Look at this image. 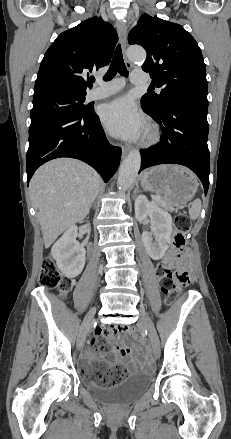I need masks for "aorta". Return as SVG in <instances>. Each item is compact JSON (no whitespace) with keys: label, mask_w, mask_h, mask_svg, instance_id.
Listing matches in <instances>:
<instances>
[{"label":"aorta","mask_w":231,"mask_h":439,"mask_svg":"<svg viewBox=\"0 0 231 439\" xmlns=\"http://www.w3.org/2000/svg\"><path fill=\"white\" fill-rule=\"evenodd\" d=\"M127 56L132 62H144L146 52L141 47H130L127 50ZM141 166V155L138 150L131 151L122 162L119 173L117 186L120 191H126L134 182Z\"/></svg>","instance_id":"aorta-1"}]
</instances>
